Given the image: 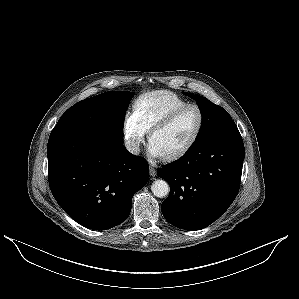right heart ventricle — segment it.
<instances>
[{
  "mask_svg": "<svg viewBox=\"0 0 299 299\" xmlns=\"http://www.w3.org/2000/svg\"><path fill=\"white\" fill-rule=\"evenodd\" d=\"M188 104L177 94L159 90L140 96L134 105V113L149 130L154 124L165 118L175 109Z\"/></svg>",
  "mask_w": 299,
  "mask_h": 299,
  "instance_id": "1",
  "label": "right heart ventricle"
}]
</instances>
